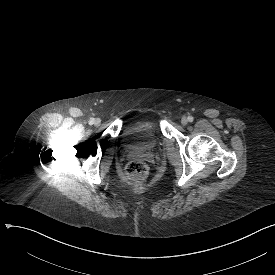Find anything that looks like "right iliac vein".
Listing matches in <instances>:
<instances>
[{
	"label": "right iliac vein",
	"instance_id": "63e3f726",
	"mask_svg": "<svg viewBox=\"0 0 275 275\" xmlns=\"http://www.w3.org/2000/svg\"><path fill=\"white\" fill-rule=\"evenodd\" d=\"M100 125H101V120L100 119H96L94 121V126L99 127Z\"/></svg>",
	"mask_w": 275,
	"mask_h": 275
}]
</instances>
